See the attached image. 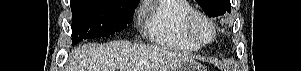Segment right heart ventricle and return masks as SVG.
<instances>
[{"mask_svg":"<svg viewBox=\"0 0 301 71\" xmlns=\"http://www.w3.org/2000/svg\"><path fill=\"white\" fill-rule=\"evenodd\" d=\"M193 10L186 0H158L146 7L143 31L152 43L181 51L195 52L199 46L185 33L184 17Z\"/></svg>","mask_w":301,"mask_h":71,"instance_id":"e07e8e85","label":"right heart ventricle"}]
</instances>
